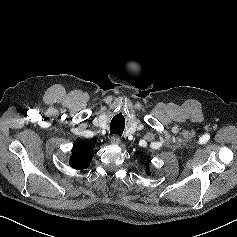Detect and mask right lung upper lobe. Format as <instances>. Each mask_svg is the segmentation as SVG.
<instances>
[{
	"mask_svg": "<svg viewBox=\"0 0 237 237\" xmlns=\"http://www.w3.org/2000/svg\"><path fill=\"white\" fill-rule=\"evenodd\" d=\"M93 154V148L89 143L79 141L73 146L70 165L75 169H85L89 166Z\"/></svg>",
	"mask_w": 237,
	"mask_h": 237,
	"instance_id": "obj_1",
	"label": "right lung upper lobe"
}]
</instances>
